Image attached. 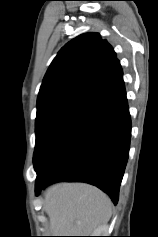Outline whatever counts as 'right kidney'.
I'll return each mask as SVG.
<instances>
[{
	"label": "right kidney",
	"mask_w": 158,
	"mask_h": 237,
	"mask_svg": "<svg viewBox=\"0 0 158 237\" xmlns=\"http://www.w3.org/2000/svg\"><path fill=\"white\" fill-rule=\"evenodd\" d=\"M108 226L104 225L99 227L97 230H95L93 236H107L108 234Z\"/></svg>",
	"instance_id": "1"
}]
</instances>
